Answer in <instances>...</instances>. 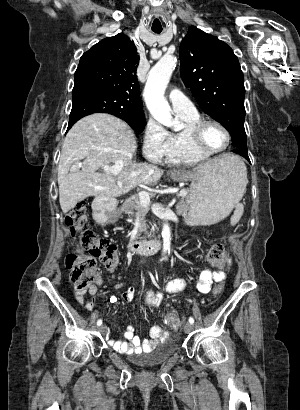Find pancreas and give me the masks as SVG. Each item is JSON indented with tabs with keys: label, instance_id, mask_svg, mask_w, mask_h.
Instances as JSON below:
<instances>
[{
	"label": "pancreas",
	"instance_id": "obj_1",
	"mask_svg": "<svg viewBox=\"0 0 300 410\" xmlns=\"http://www.w3.org/2000/svg\"><path fill=\"white\" fill-rule=\"evenodd\" d=\"M187 192L188 190L185 189ZM152 196V194H149ZM190 198L189 196H184L180 200L179 204L176 207V213L178 215L186 216L189 210ZM121 210L125 213H128L135 218H139L140 216L145 214V209L142 203L140 202L139 195H133L130 198L126 199L122 205ZM136 219H134L133 224H135Z\"/></svg>",
	"mask_w": 300,
	"mask_h": 410
}]
</instances>
